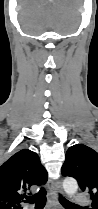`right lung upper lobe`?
Instances as JSON below:
<instances>
[{"label":"right lung upper lobe","instance_id":"obj_1","mask_svg":"<svg viewBox=\"0 0 98 209\" xmlns=\"http://www.w3.org/2000/svg\"><path fill=\"white\" fill-rule=\"evenodd\" d=\"M47 182V171L38 155L20 150L0 166V209H23L21 202L31 186Z\"/></svg>","mask_w":98,"mask_h":209}]
</instances>
